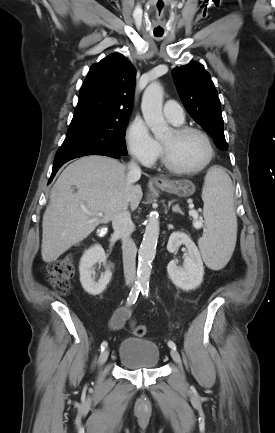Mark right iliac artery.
<instances>
[{
  "instance_id": "1",
  "label": "right iliac artery",
  "mask_w": 275,
  "mask_h": 433,
  "mask_svg": "<svg viewBox=\"0 0 275 433\" xmlns=\"http://www.w3.org/2000/svg\"><path fill=\"white\" fill-rule=\"evenodd\" d=\"M140 290H141V286L140 285H135L131 289V291L129 293V296L127 298V305H131V304H134L136 302ZM107 345H108V343L106 341H103L101 343V346H100L101 350L103 351L107 347Z\"/></svg>"
}]
</instances>
